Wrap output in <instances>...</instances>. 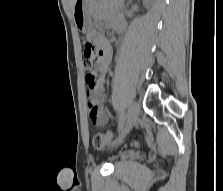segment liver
<instances>
[{"label": "liver", "mask_w": 223, "mask_h": 191, "mask_svg": "<svg viewBox=\"0 0 223 191\" xmlns=\"http://www.w3.org/2000/svg\"><path fill=\"white\" fill-rule=\"evenodd\" d=\"M76 0H70V4H71V8L73 10L74 4H75Z\"/></svg>", "instance_id": "6515ba94"}]
</instances>
